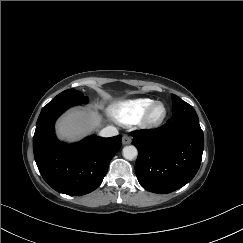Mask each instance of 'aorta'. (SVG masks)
Returning a JSON list of instances; mask_svg holds the SVG:
<instances>
[{
  "mask_svg": "<svg viewBox=\"0 0 243 243\" xmlns=\"http://www.w3.org/2000/svg\"><path fill=\"white\" fill-rule=\"evenodd\" d=\"M123 157L127 160H133L137 157V149L133 145H129L123 148L122 150Z\"/></svg>",
  "mask_w": 243,
  "mask_h": 243,
  "instance_id": "obj_1",
  "label": "aorta"
}]
</instances>
